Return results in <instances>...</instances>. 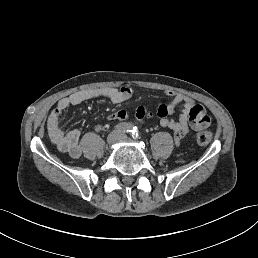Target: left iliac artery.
I'll list each match as a JSON object with an SVG mask.
<instances>
[{
	"mask_svg": "<svg viewBox=\"0 0 258 258\" xmlns=\"http://www.w3.org/2000/svg\"><path fill=\"white\" fill-rule=\"evenodd\" d=\"M130 135L133 139L137 140L139 138V129L138 127L134 126L133 129L130 131Z\"/></svg>",
	"mask_w": 258,
	"mask_h": 258,
	"instance_id": "44dca946",
	"label": "left iliac artery"
}]
</instances>
